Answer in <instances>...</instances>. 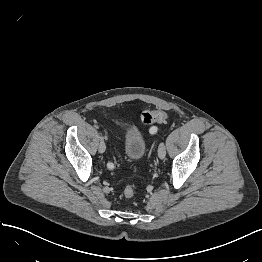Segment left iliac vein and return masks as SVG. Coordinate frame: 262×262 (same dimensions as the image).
I'll return each mask as SVG.
<instances>
[{
  "label": "left iliac vein",
  "mask_w": 262,
  "mask_h": 262,
  "mask_svg": "<svg viewBox=\"0 0 262 262\" xmlns=\"http://www.w3.org/2000/svg\"><path fill=\"white\" fill-rule=\"evenodd\" d=\"M158 156L161 160H163L166 156V147H165V144L163 142H161L159 147H158Z\"/></svg>",
  "instance_id": "4c4485c4"
}]
</instances>
